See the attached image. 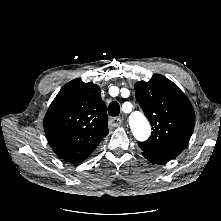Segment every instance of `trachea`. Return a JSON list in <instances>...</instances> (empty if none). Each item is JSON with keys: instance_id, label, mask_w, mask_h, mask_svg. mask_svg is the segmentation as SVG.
<instances>
[{"instance_id": "obj_1", "label": "trachea", "mask_w": 221, "mask_h": 221, "mask_svg": "<svg viewBox=\"0 0 221 221\" xmlns=\"http://www.w3.org/2000/svg\"><path fill=\"white\" fill-rule=\"evenodd\" d=\"M120 113V105L117 101H112L108 106V114L112 117L118 116Z\"/></svg>"}]
</instances>
